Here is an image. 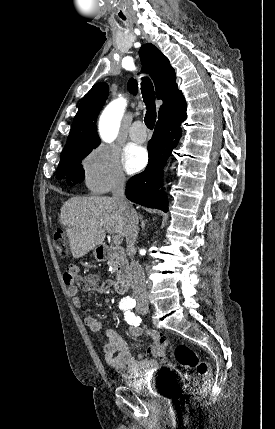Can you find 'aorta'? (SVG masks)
I'll use <instances>...</instances> for the list:
<instances>
[{
  "instance_id": "aorta-1",
  "label": "aorta",
  "mask_w": 275,
  "mask_h": 429,
  "mask_svg": "<svg viewBox=\"0 0 275 429\" xmlns=\"http://www.w3.org/2000/svg\"><path fill=\"white\" fill-rule=\"evenodd\" d=\"M123 106L119 102L111 103L100 118V132L105 141H112L118 132Z\"/></svg>"
}]
</instances>
